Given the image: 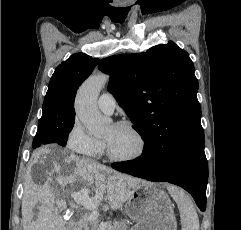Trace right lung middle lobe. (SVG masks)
<instances>
[{
	"instance_id": "obj_1",
	"label": "right lung middle lobe",
	"mask_w": 241,
	"mask_h": 230,
	"mask_svg": "<svg viewBox=\"0 0 241 230\" xmlns=\"http://www.w3.org/2000/svg\"><path fill=\"white\" fill-rule=\"evenodd\" d=\"M75 118L58 120L51 116H44L38 121V130L33 141V148L41 144L57 143L65 146L68 135L74 126Z\"/></svg>"
}]
</instances>
